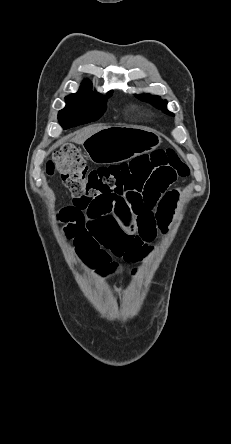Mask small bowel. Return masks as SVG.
Masks as SVG:
<instances>
[{
	"instance_id": "c3829d8e",
	"label": "small bowel",
	"mask_w": 231,
	"mask_h": 444,
	"mask_svg": "<svg viewBox=\"0 0 231 444\" xmlns=\"http://www.w3.org/2000/svg\"><path fill=\"white\" fill-rule=\"evenodd\" d=\"M152 186L135 206L125 198L74 200L61 210L65 234L85 262L101 274L118 269L113 256L141 261L158 232H166L177 203V192Z\"/></svg>"
}]
</instances>
